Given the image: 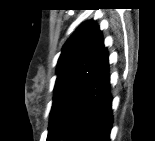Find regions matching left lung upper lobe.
Listing matches in <instances>:
<instances>
[{"mask_svg": "<svg viewBox=\"0 0 155 141\" xmlns=\"http://www.w3.org/2000/svg\"><path fill=\"white\" fill-rule=\"evenodd\" d=\"M106 48L95 21L81 24L63 46L57 64L47 141H57L63 121L98 69Z\"/></svg>", "mask_w": 155, "mask_h": 141, "instance_id": "obj_1", "label": "left lung upper lobe"}]
</instances>
